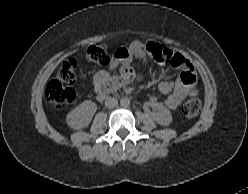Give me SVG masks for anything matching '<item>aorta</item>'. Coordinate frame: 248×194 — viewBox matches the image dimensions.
<instances>
[{"label":"aorta","mask_w":248,"mask_h":194,"mask_svg":"<svg viewBox=\"0 0 248 194\" xmlns=\"http://www.w3.org/2000/svg\"><path fill=\"white\" fill-rule=\"evenodd\" d=\"M120 105L122 107H128L130 105V99L128 97L121 98Z\"/></svg>","instance_id":"1"}]
</instances>
